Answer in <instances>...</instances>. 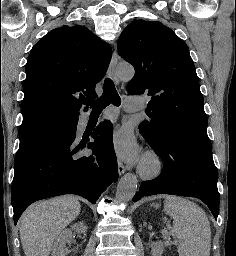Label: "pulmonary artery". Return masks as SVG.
<instances>
[{
	"label": "pulmonary artery",
	"instance_id": "pulmonary-artery-1",
	"mask_svg": "<svg viewBox=\"0 0 236 256\" xmlns=\"http://www.w3.org/2000/svg\"><path fill=\"white\" fill-rule=\"evenodd\" d=\"M127 109H141L142 108V96H127L126 97Z\"/></svg>",
	"mask_w": 236,
	"mask_h": 256
}]
</instances>
